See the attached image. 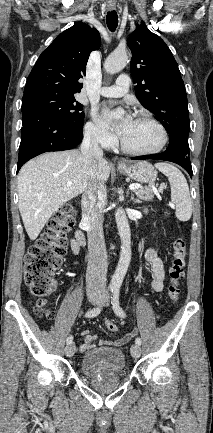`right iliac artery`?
Instances as JSON below:
<instances>
[{"label":"right iliac artery","instance_id":"obj_1","mask_svg":"<svg viewBox=\"0 0 213 433\" xmlns=\"http://www.w3.org/2000/svg\"><path fill=\"white\" fill-rule=\"evenodd\" d=\"M101 310H102L101 306H98V307H96L94 309H91L88 312H86L85 316L89 317V318L95 317V316H97L101 312ZM72 340H73L72 335L68 336V338L66 340L67 344L72 343Z\"/></svg>","mask_w":213,"mask_h":433}]
</instances>
